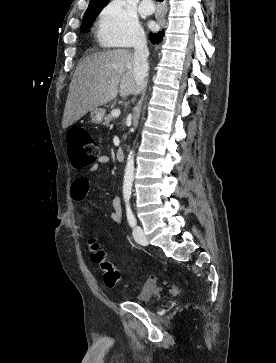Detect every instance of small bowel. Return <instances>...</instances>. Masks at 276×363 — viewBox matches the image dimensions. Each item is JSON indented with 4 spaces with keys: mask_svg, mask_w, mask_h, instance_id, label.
Listing matches in <instances>:
<instances>
[{
    "mask_svg": "<svg viewBox=\"0 0 276 363\" xmlns=\"http://www.w3.org/2000/svg\"><path fill=\"white\" fill-rule=\"evenodd\" d=\"M109 162V158L107 156H101L96 163L89 167L90 172H94L98 170L102 165H105ZM90 190V182L86 177L80 176L76 177L70 186V196L75 202H84L89 194ZM112 208L113 212L111 214V220L116 225H120L122 223V207H121V199L120 197H115L112 200ZM85 212H89V208H85Z\"/></svg>",
    "mask_w": 276,
    "mask_h": 363,
    "instance_id": "1",
    "label": "small bowel"
}]
</instances>
